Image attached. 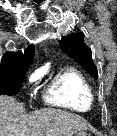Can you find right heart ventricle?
<instances>
[{"label": "right heart ventricle", "mask_w": 117, "mask_h": 136, "mask_svg": "<svg viewBox=\"0 0 117 136\" xmlns=\"http://www.w3.org/2000/svg\"><path fill=\"white\" fill-rule=\"evenodd\" d=\"M45 102L75 112H87L94 105V93L89 81L75 68L61 70L49 83Z\"/></svg>", "instance_id": "right-heart-ventricle-1"}]
</instances>
